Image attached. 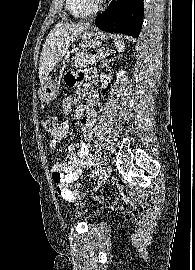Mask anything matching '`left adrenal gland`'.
Listing matches in <instances>:
<instances>
[{"mask_svg": "<svg viewBox=\"0 0 195 270\" xmlns=\"http://www.w3.org/2000/svg\"><path fill=\"white\" fill-rule=\"evenodd\" d=\"M112 60H113V59H107L106 61H104L103 64H102V67H103V66H106V65H107V62H110V61H112Z\"/></svg>", "mask_w": 195, "mask_h": 270, "instance_id": "obj_1", "label": "left adrenal gland"}]
</instances>
